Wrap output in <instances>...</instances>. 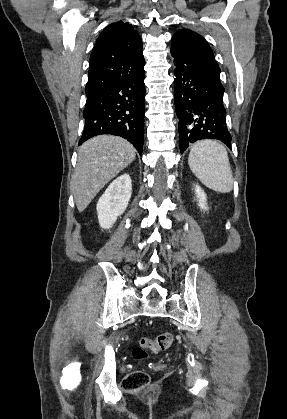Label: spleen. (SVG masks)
<instances>
[{"instance_id": "1", "label": "spleen", "mask_w": 287, "mask_h": 419, "mask_svg": "<svg viewBox=\"0 0 287 419\" xmlns=\"http://www.w3.org/2000/svg\"><path fill=\"white\" fill-rule=\"evenodd\" d=\"M188 164L193 174L208 188L220 193L233 189V174L224 145L201 140L191 147Z\"/></svg>"}]
</instances>
